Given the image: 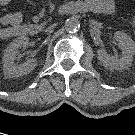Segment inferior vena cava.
<instances>
[{
  "mask_svg": "<svg viewBox=\"0 0 135 135\" xmlns=\"http://www.w3.org/2000/svg\"><path fill=\"white\" fill-rule=\"evenodd\" d=\"M53 28H54V25L48 27V28L45 30V32H49V31H51Z\"/></svg>",
  "mask_w": 135,
  "mask_h": 135,
  "instance_id": "1",
  "label": "inferior vena cava"
}]
</instances>
